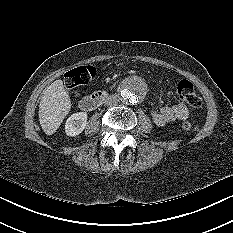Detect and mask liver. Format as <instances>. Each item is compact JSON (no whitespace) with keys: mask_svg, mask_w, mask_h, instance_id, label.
I'll list each match as a JSON object with an SVG mask.
<instances>
[{"mask_svg":"<svg viewBox=\"0 0 233 233\" xmlns=\"http://www.w3.org/2000/svg\"><path fill=\"white\" fill-rule=\"evenodd\" d=\"M70 109V96L62 80L54 81L44 90L39 105V121L45 134L55 133Z\"/></svg>","mask_w":233,"mask_h":233,"instance_id":"obj_1","label":"liver"}]
</instances>
